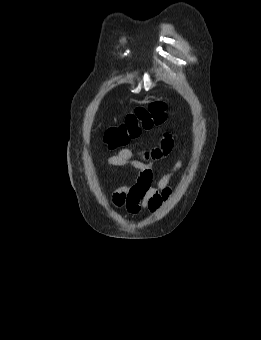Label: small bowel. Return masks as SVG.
<instances>
[{
	"label": "small bowel",
	"instance_id": "1",
	"mask_svg": "<svg viewBox=\"0 0 261 340\" xmlns=\"http://www.w3.org/2000/svg\"><path fill=\"white\" fill-rule=\"evenodd\" d=\"M174 147V139L170 133H164L160 143L148 150L135 152L123 148L115 155L107 158L105 163L109 166H129L138 171V178L133 185H121L112 193V204L117 208L125 209L131 215H138L144 210L157 211L162 203L171 194L170 181L174 174L182 167L183 161L178 160L172 169L164 174L152 185V162L168 156Z\"/></svg>",
	"mask_w": 261,
	"mask_h": 340
}]
</instances>
